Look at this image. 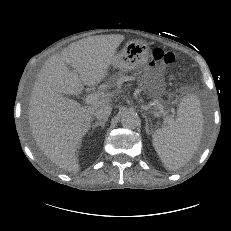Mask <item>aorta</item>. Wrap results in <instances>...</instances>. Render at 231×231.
I'll list each match as a JSON object with an SVG mask.
<instances>
[{
    "mask_svg": "<svg viewBox=\"0 0 231 231\" xmlns=\"http://www.w3.org/2000/svg\"><path fill=\"white\" fill-rule=\"evenodd\" d=\"M121 123L125 128L134 129L139 124V117L136 113L128 112L122 115Z\"/></svg>",
    "mask_w": 231,
    "mask_h": 231,
    "instance_id": "aorta-1",
    "label": "aorta"
}]
</instances>
